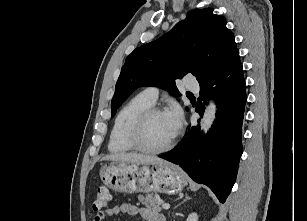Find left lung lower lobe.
<instances>
[{
	"label": "left lung lower lobe",
	"instance_id": "left-lung-lower-lobe-1",
	"mask_svg": "<svg viewBox=\"0 0 307 221\" xmlns=\"http://www.w3.org/2000/svg\"><path fill=\"white\" fill-rule=\"evenodd\" d=\"M217 100V119L203 136L191 127L177 147L159 157L179 165L194 181L207 185L224 203L236 179L242 155V122L247 100L239 51L211 79L200 84L196 111ZM203 102V103H202Z\"/></svg>",
	"mask_w": 307,
	"mask_h": 221
}]
</instances>
